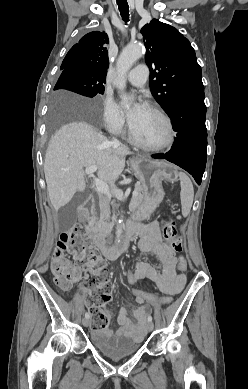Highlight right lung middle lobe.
<instances>
[{"mask_svg": "<svg viewBox=\"0 0 248 389\" xmlns=\"http://www.w3.org/2000/svg\"><path fill=\"white\" fill-rule=\"evenodd\" d=\"M105 78L95 76L94 74L75 68L63 69L54 90L66 89L86 97H94L104 94ZM79 112L93 117L96 114V108L91 104L77 106Z\"/></svg>", "mask_w": 248, "mask_h": 389, "instance_id": "obj_1", "label": "right lung middle lobe"}]
</instances>
